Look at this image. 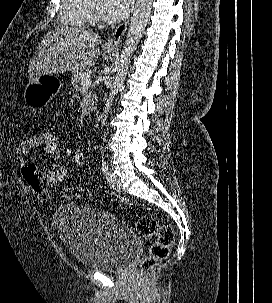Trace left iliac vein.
<instances>
[{
	"instance_id": "left-iliac-vein-1",
	"label": "left iliac vein",
	"mask_w": 272,
	"mask_h": 303,
	"mask_svg": "<svg viewBox=\"0 0 272 303\" xmlns=\"http://www.w3.org/2000/svg\"><path fill=\"white\" fill-rule=\"evenodd\" d=\"M107 181H108L109 185L117 192H120L122 190L121 181H120L119 177L116 174H114L113 172L108 171Z\"/></svg>"
}]
</instances>
